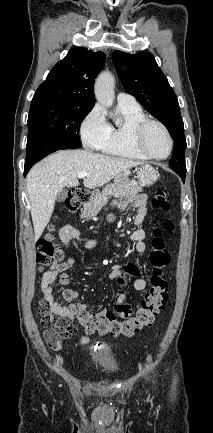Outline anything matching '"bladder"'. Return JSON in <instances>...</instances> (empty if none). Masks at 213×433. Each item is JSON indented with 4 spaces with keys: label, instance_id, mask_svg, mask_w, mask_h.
Here are the masks:
<instances>
[{
    "label": "bladder",
    "instance_id": "bladder-1",
    "mask_svg": "<svg viewBox=\"0 0 213 433\" xmlns=\"http://www.w3.org/2000/svg\"><path fill=\"white\" fill-rule=\"evenodd\" d=\"M89 359L93 365L106 373L118 370V360L114 349L107 344H99L89 351Z\"/></svg>",
    "mask_w": 213,
    "mask_h": 433
}]
</instances>
